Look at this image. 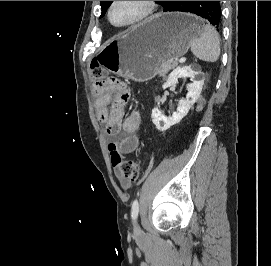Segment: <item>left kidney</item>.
Masks as SVG:
<instances>
[{
	"mask_svg": "<svg viewBox=\"0 0 271 266\" xmlns=\"http://www.w3.org/2000/svg\"><path fill=\"white\" fill-rule=\"evenodd\" d=\"M201 71L197 67L184 66L178 67L169 75L166 85L172 86L178 82L181 77L191 78V83L187 85L188 93L186 99L179 101L177 110L173 112L172 116L166 117L159 110L158 106L152 110V121L156 128L160 131H166L171 126L179 123L183 117L187 115L190 108L200 97L204 79L201 77Z\"/></svg>",
	"mask_w": 271,
	"mask_h": 266,
	"instance_id": "1",
	"label": "left kidney"
}]
</instances>
